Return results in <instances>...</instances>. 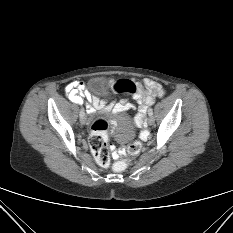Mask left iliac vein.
Masks as SVG:
<instances>
[{"label":"left iliac vein","instance_id":"left-iliac-vein-1","mask_svg":"<svg viewBox=\"0 0 233 233\" xmlns=\"http://www.w3.org/2000/svg\"><path fill=\"white\" fill-rule=\"evenodd\" d=\"M147 123L149 126H152L154 124V118L152 116H149L147 118Z\"/></svg>","mask_w":233,"mask_h":233}]
</instances>
